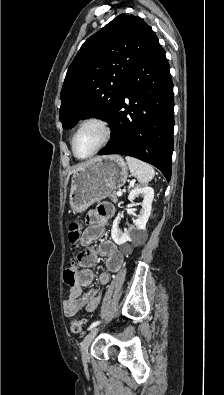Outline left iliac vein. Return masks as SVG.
<instances>
[{
	"label": "left iliac vein",
	"mask_w": 224,
	"mask_h": 395,
	"mask_svg": "<svg viewBox=\"0 0 224 395\" xmlns=\"http://www.w3.org/2000/svg\"><path fill=\"white\" fill-rule=\"evenodd\" d=\"M99 331L98 327L93 328L83 339L81 343V353L84 361H89V346Z\"/></svg>",
	"instance_id": "4c4485c4"
}]
</instances>
